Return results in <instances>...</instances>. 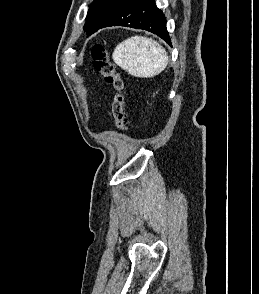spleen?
<instances>
[{
    "label": "spleen",
    "instance_id": "1",
    "mask_svg": "<svg viewBox=\"0 0 259 294\" xmlns=\"http://www.w3.org/2000/svg\"><path fill=\"white\" fill-rule=\"evenodd\" d=\"M114 62L132 76L150 78L168 64L166 50L155 40L133 36L119 43L112 54Z\"/></svg>",
    "mask_w": 259,
    "mask_h": 294
}]
</instances>
